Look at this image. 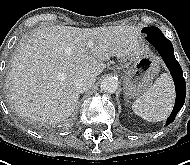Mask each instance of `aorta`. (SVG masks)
I'll use <instances>...</instances> for the list:
<instances>
[{
	"label": "aorta",
	"instance_id": "obj_1",
	"mask_svg": "<svg viewBox=\"0 0 190 165\" xmlns=\"http://www.w3.org/2000/svg\"><path fill=\"white\" fill-rule=\"evenodd\" d=\"M118 88V81L113 77L104 78L101 82V90L105 93H115Z\"/></svg>",
	"mask_w": 190,
	"mask_h": 165
}]
</instances>
